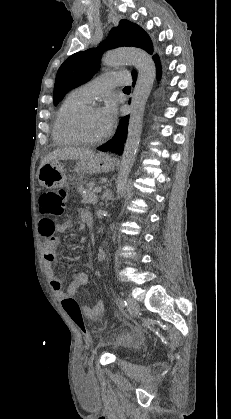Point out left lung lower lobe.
<instances>
[{
  "label": "left lung lower lobe",
  "mask_w": 231,
  "mask_h": 419,
  "mask_svg": "<svg viewBox=\"0 0 231 419\" xmlns=\"http://www.w3.org/2000/svg\"><path fill=\"white\" fill-rule=\"evenodd\" d=\"M155 64H156V68H157V77L160 78L161 76V66L159 63V58L157 55H155L153 57ZM133 76V85L135 84L136 81V77L137 74L134 73L132 74ZM128 119L129 116H125L123 117L120 122H119V126H118V130L115 134V136L106 144L98 147L99 150L101 151H107V150H111L112 152H116V153H122L123 148H124V143L127 137V126H128Z\"/></svg>",
  "instance_id": "obj_1"
}]
</instances>
